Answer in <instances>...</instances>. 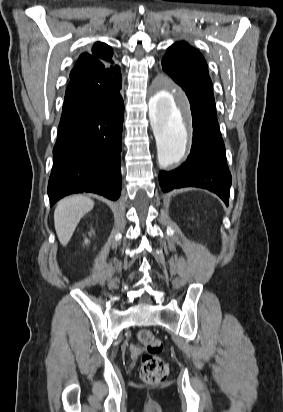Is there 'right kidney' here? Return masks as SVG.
Returning a JSON list of instances; mask_svg holds the SVG:
<instances>
[{
	"label": "right kidney",
	"mask_w": 283,
	"mask_h": 412,
	"mask_svg": "<svg viewBox=\"0 0 283 412\" xmlns=\"http://www.w3.org/2000/svg\"><path fill=\"white\" fill-rule=\"evenodd\" d=\"M85 243L87 244V243H88V240H86Z\"/></svg>",
	"instance_id": "right-kidney-1"
}]
</instances>
